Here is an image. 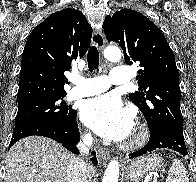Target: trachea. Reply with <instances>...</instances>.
Segmentation results:
<instances>
[{"label":"trachea","instance_id":"obj_1","mask_svg":"<svg viewBox=\"0 0 196 182\" xmlns=\"http://www.w3.org/2000/svg\"><path fill=\"white\" fill-rule=\"evenodd\" d=\"M87 62L89 71L92 72L94 69L99 67V52L96 46H92L87 55Z\"/></svg>","mask_w":196,"mask_h":182}]
</instances>
